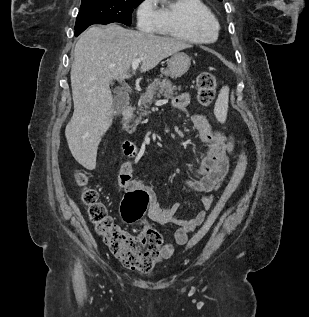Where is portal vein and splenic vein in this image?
Returning a JSON list of instances; mask_svg holds the SVG:
<instances>
[{
	"label": "portal vein and splenic vein",
	"mask_w": 309,
	"mask_h": 317,
	"mask_svg": "<svg viewBox=\"0 0 309 317\" xmlns=\"http://www.w3.org/2000/svg\"><path fill=\"white\" fill-rule=\"evenodd\" d=\"M140 62H141V59H134V60H132V63H131L132 69H133V70H136V69L138 68Z\"/></svg>",
	"instance_id": "portal-vein-and-splenic-vein-1"
}]
</instances>
